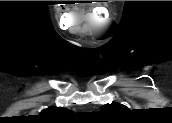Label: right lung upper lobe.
Listing matches in <instances>:
<instances>
[{"instance_id":"cb5924a9","label":"right lung upper lobe","mask_w":172,"mask_h":123,"mask_svg":"<svg viewBox=\"0 0 172 123\" xmlns=\"http://www.w3.org/2000/svg\"><path fill=\"white\" fill-rule=\"evenodd\" d=\"M68 112L70 111L67 109L52 106L47 109H44L40 113L39 117L44 119H56L59 116L67 114Z\"/></svg>"}]
</instances>
